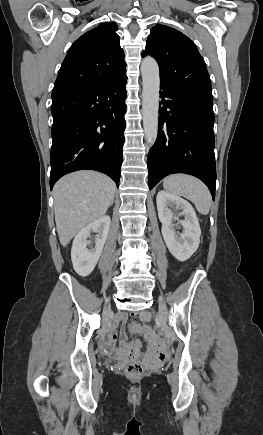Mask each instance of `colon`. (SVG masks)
<instances>
[{"label": "colon", "instance_id": "obj_1", "mask_svg": "<svg viewBox=\"0 0 263 435\" xmlns=\"http://www.w3.org/2000/svg\"><path fill=\"white\" fill-rule=\"evenodd\" d=\"M153 329H155L156 332H160L161 335H163V333H164L162 328L159 326V324H153ZM160 341L163 345V340L160 339ZM152 356H153V354H152ZM124 371H125V374L130 378H139L144 374L145 368L140 362H133V363L128 364L125 367Z\"/></svg>", "mask_w": 263, "mask_h": 435}]
</instances>
